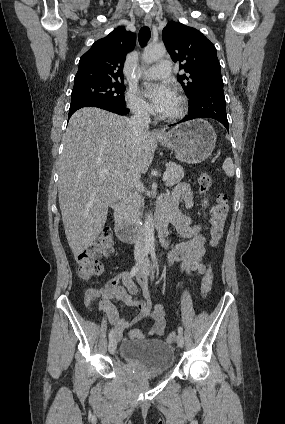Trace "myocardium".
<instances>
[{
  "mask_svg": "<svg viewBox=\"0 0 285 424\" xmlns=\"http://www.w3.org/2000/svg\"><path fill=\"white\" fill-rule=\"evenodd\" d=\"M176 97L178 98L179 102H180V109L178 110V112H176L173 115L170 116H160V119L166 122H176L180 119H182L188 110V103H187V99L186 97L181 94V93H177Z\"/></svg>",
  "mask_w": 285,
  "mask_h": 424,
  "instance_id": "1",
  "label": "myocardium"
}]
</instances>
